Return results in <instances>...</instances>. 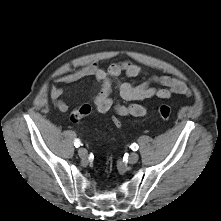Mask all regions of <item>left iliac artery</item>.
<instances>
[{
  "label": "left iliac artery",
  "instance_id": "left-iliac-artery-1",
  "mask_svg": "<svg viewBox=\"0 0 221 221\" xmlns=\"http://www.w3.org/2000/svg\"><path fill=\"white\" fill-rule=\"evenodd\" d=\"M130 147L133 151H137L139 148V146L136 143H133Z\"/></svg>",
  "mask_w": 221,
  "mask_h": 221
}]
</instances>
